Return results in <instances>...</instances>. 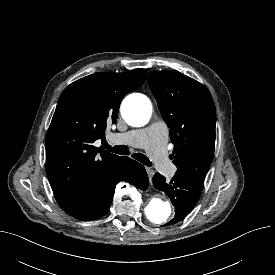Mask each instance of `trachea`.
Returning a JSON list of instances; mask_svg holds the SVG:
<instances>
[{
	"mask_svg": "<svg viewBox=\"0 0 275 275\" xmlns=\"http://www.w3.org/2000/svg\"><path fill=\"white\" fill-rule=\"evenodd\" d=\"M103 148L116 154L129 155V148L126 145H116L111 147L108 143H104ZM132 157L146 166H152V163L144 154L134 153Z\"/></svg>",
	"mask_w": 275,
	"mask_h": 275,
	"instance_id": "trachea-1",
	"label": "trachea"
}]
</instances>
